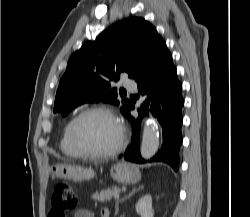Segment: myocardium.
I'll return each mask as SVG.
<instances>
[{"mask_svg":"<svg viewBox=\"0 0 250 217\" xmlns=\"http://www.w3.org/2000/svg\"><path fill=\"white\" fill-rule=\"evenodd\" d=\"M91 113H103L109 116L117 125L119 130V139L116 145L110 150L103 152H92L84 149L77 139L76 128L77 124L84 116ZM69 139L72 146L79 153L81 157L90 158V159H103L109 158L120 153L126 145L127 142V134L126 128L120 119V117L116 114V112L108 106L105 105H92L82 109L71 121L69 124Z\"/></svg>","mask_w":250,"mask_h":217,"instance_id":"1","label":"myocardium"}]
</instances>
